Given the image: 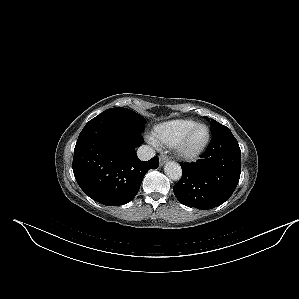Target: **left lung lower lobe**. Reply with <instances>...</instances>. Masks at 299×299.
<instances>
[{"instance_id":"0a47b994","label":"left lung lower lobe","mask_w":299,"mask_h":299,"mask_svg":"<svg viewBox=\"0 0 299 299\" xmlns=\"http://www.w3.org/2000/svg\"><path fill=\"white\" fill-rule=\"evenodd\" d=\"M207 150L196 163H182V178L174 185L176 198L187 206L207 210L227 201L241 173V150L227 127L212 134Z\"/></svg>"}]
</instances>
